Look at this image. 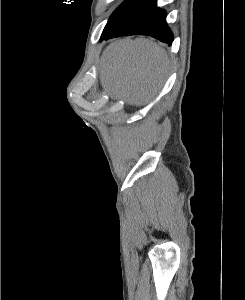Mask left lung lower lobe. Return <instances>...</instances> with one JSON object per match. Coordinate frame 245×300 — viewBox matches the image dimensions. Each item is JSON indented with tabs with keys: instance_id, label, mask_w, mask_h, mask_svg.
<instances>
[{
	"instance_id": "0a47b994",
	"label": "left lung lower lobe",
	"mask_w": 245,
	"mask_h": 300,
	"mask_svg": "<svg viewBox=\"0 0 245 300\" xmlns=\"http://www.w3.org/2000/svg\"><path fill=\"white\" fill-rule=\"evenodd\" d=\"M149 35L161 42H173V34L166 23V12L156 6V0H145L130 10L107 32L101 41L120 36Z\"/></svg>"
}]
</instances>
